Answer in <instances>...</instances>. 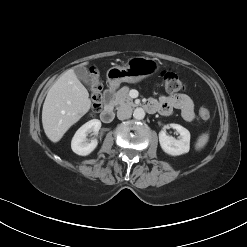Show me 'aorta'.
<instances>
[{"instance_id":"1","label":"aorta","mask_w":247,"mask_h":247,"mask_svg":"<svg viewBox=\"0 0 247 247\" xmlns=\"http://www.w3.org/2000/svg\"><path fill=\"white\" fill-rule=\"evenodd\" d=\"M133 117L137 120H142L145 117L144 109L136 108L133 112Z\"/></svg>"}]
</instances>
